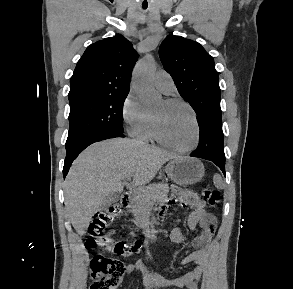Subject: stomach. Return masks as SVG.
Returning a JSON list of instances; mask_svg holds the SVG:
<instances>
[{"label": "stomach", "mask_w": 293, "mask_h": 289, "mask_svg": "<svg viewBox=\"0 0 293 289\" xmlns=\"http://www.w3.org/2000/svg\"><path fill=\"white\" fill-rule=\"evenodd\" d=\"M165 171L173 182L182 186L200 182L205 174L203 163L191 157H177L171 160Z\"/></svg>", "instance_id": "stomach-1"}]
</instances>
